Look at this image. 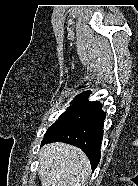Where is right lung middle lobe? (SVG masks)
Here are the masks:
<instances>
[{
	"mask_svg": "<svg viewBox=\"0 0 138 186\" xmlns=\"http://www.w3.org/2000/svg\"><path fill=\"white\" fill-rule=\"evenodd\" d=\"M90 91L87 92H83L81 94H79L78 96L75 97V99L71 102L72 106L69 107L60 117L59 119L48 128V130L46 131V134L49 133L55 126H57L60 122H62L64 119H66L68 116H70L71 114H73L75 111H77L78 109H80L83 105H85L86 103H88V101H86V99L89 97L90 95ZM45 134V135H46Z\"/></svg>",
	"mask_w": 138,
	"mask_h": 186,
	"instance_id": "1",
	"label": "right lung middle lobe"
}]
</instances>
